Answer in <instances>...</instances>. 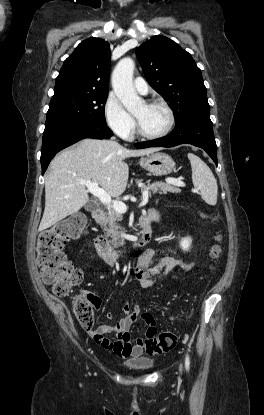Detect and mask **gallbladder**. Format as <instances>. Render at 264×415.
<instances>
[{
    "label": "gallbladder",
    "mask_w": 264,
    "mask_h": 415,
    "mask_svg": "<svg viewBox=\"0 0 264 415\" xmlns=\"http://www.w3.org/2000/svg\"><path fill=\"white\" fill-rule=\"evenodd\" d=\"M93 208H94V204L92 202H88L85 205V209H87V210H92Z\"/></svg>",
    "instance_id": "obj_1"
}]
</instances>
